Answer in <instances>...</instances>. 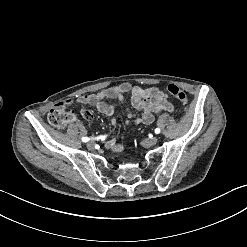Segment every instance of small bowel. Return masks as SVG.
I'll return each mask as SVG.
<instances>
[{
	"label": "small bowel",
	"instance_id": "small-bowel-1",
	"mask_svg": "<svg viewBox=\"0 0 247 247\" xmlns=\"http://www.w3.org/2000/svg\"><path fill=\"white\" fill-rule=\"evenodd\" d=\"M126 95L130 97V104L134 109L143 111L141 118H135V114L129 109H126V124L134 120L135 124L150 125L154 122V114L158 112H172L174 106L169 96L162 90L156 87L142 88L133 86L128 82H123L96 93L85 94L75 100H65L57 104L58 109H65L73 101L80 105L93 106L97 111L110 117L112 125H116L117 119L114 117L115 105L107 103L106 100L124 101ZM81 115L88 120L90 126L97 124V119L93 117V112L90 109H82ZM106 149L120 152L124 146L118 144L112 139L105 144Z\"/></svg>",
	"mask_w": 247,
	"mask_h": 247
}]
</instances>
